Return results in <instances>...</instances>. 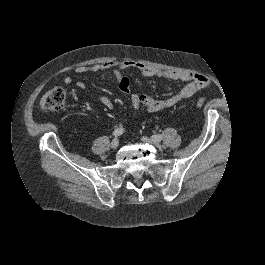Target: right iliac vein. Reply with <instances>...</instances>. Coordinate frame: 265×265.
I'll return each instance as SVG.
<instances>
[{
  "mask_svg": "<svg viewBox=\"0 0 265 265\" xmlns=\"http://www.w3.org/2000/svg\"><path fill=\"white\" fill-rule=\"evenodd\" d=\"M118 145H119V139L115 138V139L112 140L110 146H111L112 149H116L118 147Z\"/></svg>",
  "mask_w": 265,
  "mask_h": 265,
  "instance_id": "1",
  "label": "right iliac vein"
}]
</instances>
